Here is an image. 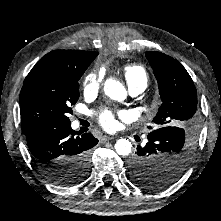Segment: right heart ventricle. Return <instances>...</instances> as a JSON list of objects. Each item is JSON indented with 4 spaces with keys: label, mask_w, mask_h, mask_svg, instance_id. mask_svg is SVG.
I'll list each match as a JSON object with an SVG mask.
<instances>
[{
    "label": "right heart ventricle",
    "mask_w": 221,
    "mask_h": 221,
    "mask_svg": "<svg viewBox=\"0 0 221 221\" xmlns=\"http://www.w3.org/2000/svg\"><path fill=\"white\" fill-rule=\"evenodd\" d=\"M124 78L130 88H146L148 74L145 68L138 64H130L123 67Z\"/></svg>",
    "instance_id": "1"
}]
</instances>
